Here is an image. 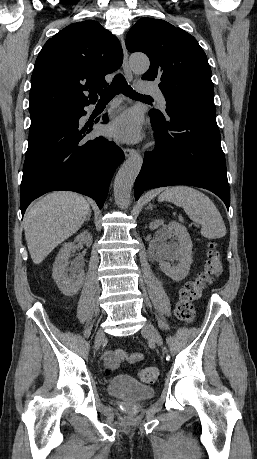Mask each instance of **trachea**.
<instances>
[{"label":"trachea","instance_id":"3493384b","mask_svg":"<svg viewBox=\"0 0 257 459\" xmlns=\"http://www.w3.org/2000/svg\"><path fill=\"white\" fill-rule=\"evenodd\" d=\"M118 92H121L130 98H151L150 96L138 94L136 91H134L131 86L127 84L124 76L119 73L114 77L113 82L109 87L99 91V101H110Z\"/></svg>","mask_w":257,"mask_h":459}]
</instances>
